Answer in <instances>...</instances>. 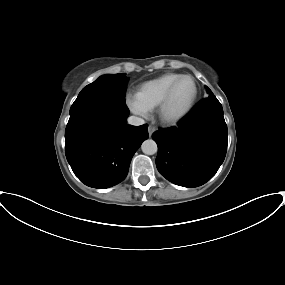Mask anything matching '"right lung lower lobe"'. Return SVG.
<instances>
[{
	"label": "right lung lower lobe",
	"mask_w": 285,
	"mask_h": 285,
	"mask_svg": "<svg viewBox=\"0 0 285 285\" xmlns=\"http://www.w3.org/2000/svg\"><path fill=\"white\" fill-rule=\"evenodd\" d=\"M125 102L95 99L73 114L65 131V154L75 175L87 186L105 189L128 174L134 153L148 138V125L126 124Z\"/></svg>",
	"instance_id": "1"
}]
</instances>
